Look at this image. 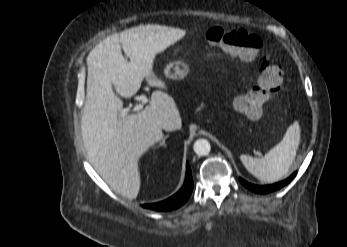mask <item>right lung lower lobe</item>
Wrapping results in <instances>:
<instances>
[{"mask_svg": "<svg viewBox=\"0 0 347 247\" xmlns=\"http://www.w3.org/2000/svg\"><path fill=\"white\" fill-rule=\"evenodd\" d=\"M193 190V180L191 175V168L189 164L186 165V179L183 187L172 197L153 204H144V208L153 209L156 211H169L176 209L183 205L191 195Z\"/></svg>", "mask_w": 347, "mask_h": 247, "instance_id": "obj_1", "label": "right lung lower lobe"}]
</instances>
